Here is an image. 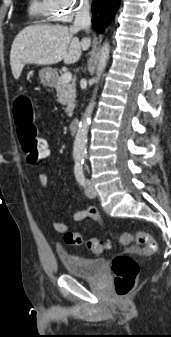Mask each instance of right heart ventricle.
I'll return each instance as SVG.
<instances>
[{"instance_id":"1","label":"right heart ventricle","mask_w":171,"mask_h":337,"mask_svg":"<svg viewBox=\"0 0 171 337\" xmlns=\"http://www.w3.org/2000/svg\"><path fill=\"white\" fill-rule=\"evenodd\" d=\"M30 13L43 21L54 19L48 0H32L30 3Z\"/></svg>"}]
</instances>
